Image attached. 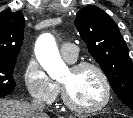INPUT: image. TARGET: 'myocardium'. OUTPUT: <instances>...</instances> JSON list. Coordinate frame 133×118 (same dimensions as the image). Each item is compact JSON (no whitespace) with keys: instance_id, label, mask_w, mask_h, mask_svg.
<instances>
[{"instance_id":"myocardium-1","label":"myocardium","mask_w":133,"mask_h":118,"mask_svg":"<svg viewBox=\"0 0 133 118\" xmlns=\"http://www.w3.org/2000/svg\"><path fill=\"white\" fill-rule=\"evenodd\" d=\"M86 68L93 69L99 75L103 83L105 95L99 104L91 107L77 105L69 96L66 86L63 83H60V87L62 92V100L69 110L77 113L92 114L103 110L109 104L112 96V88L108 76L98 64L90 61H80L73 63L70 67V69L74 72H78Z\"/></svg>"}]
</instances>
